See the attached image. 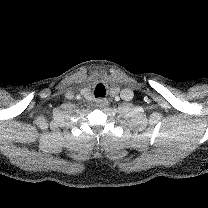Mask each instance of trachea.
I'll use <instances>...</instances> for the list:
<instances>
[{
  "mask_svg": "<svg viewBox=\"0 0 208 208\" xmlns=\"http://www.w3.org/2000/svg\"><path fill=\"white\" fill-rule=\"evenodd\" d=\"M95 97H105L106 89L103 84H98L94 91Z\"/></svg>",
  "mask_w": 208,
  "mask_h": 208,
  "instance_id": "3493384b",
  "label": "trachea"
}]
</instances>
